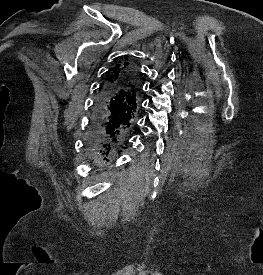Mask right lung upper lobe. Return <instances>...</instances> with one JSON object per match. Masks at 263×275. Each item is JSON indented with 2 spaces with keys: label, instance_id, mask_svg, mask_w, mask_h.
I'll return each instance as SVG.
<instances>
[{
  "label": "right lung upper lobe",
  "instance_id": "cb5924a9",
  "mask_svg": "<svg viewBox=\"0 0 263 275\" xmlns=\"http://www.w3.org/2000/svg\"><path fill=\"white\" fill-rule=\"evenodd\" d=\"M131 68L132 66L128 62L117 65L108 74L105 82L101 87V90L114 84L125 88L128 91L124 105V107L126 108L125 112L130 115H135L139 106L140 92L137 79L126 76V72Z\"/></svg>",
  "mask_w": 263,
  "mask_h": 275
}]
</instances>
